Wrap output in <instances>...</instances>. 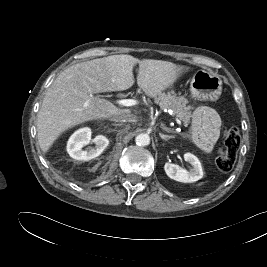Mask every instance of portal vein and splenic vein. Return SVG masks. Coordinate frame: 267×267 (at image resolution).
I'll list each match as a JSON object with an SVG mask.
<instances>
[{"label":"portal vein and splenic vein","mask_w":267,"mask_h":267,"mask_svg":"<svg viewBox=\"0 0 267 267\" xmlns=\"http://www.w3.org/2000/svg\"><path fill=\"white\" fill-rule=\"evenodd\" d=\"M117 103L123 106H134L137 104V101L134 99H120L117 100ZM176 122L177 124L182 125V122L178 118H176Z\"/></svg>","instance_id":"portal-vein-and-splenic-vein-1"}]
</instances>
